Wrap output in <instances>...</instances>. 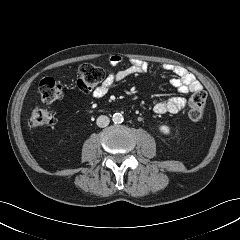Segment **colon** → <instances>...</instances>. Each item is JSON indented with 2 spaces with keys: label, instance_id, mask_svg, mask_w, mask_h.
Here are the masks:
<instances>
[{
  "label": "colon",
  "instance_id": "obj_1",
  "mask_svg": "<svg viewBox=\"0 0 240 240\" xmlns=\"http://www.w3.org/2000/svg\"><path fill=\"white\" fill-rule=\"evenodd\" d=\"M103 70L90 63L82 64L78 69L77 87L79 90L89 92L95 89L103 80ZM39 90L43 102L59 99L63 94V86L57 80L46 77L40 81ZM207 95L204 90L195 91L189 100V118L192 122L202 121L205 113ZM52 113L42 107L33 109L29 124L34 130L50 127L53 124Z\"/></svg>",
  "mask_w": 240,
  "mask_h": 240
}]
</instances>
